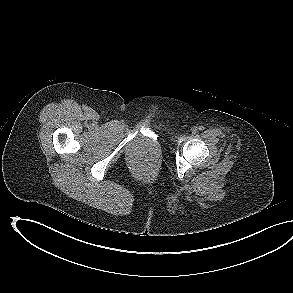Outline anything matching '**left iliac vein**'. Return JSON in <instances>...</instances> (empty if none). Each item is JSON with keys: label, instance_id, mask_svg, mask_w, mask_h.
Listing matches in <instances>:
<instances>
[{"label": "left iliac vein", "instance_id": "4c4485c4", "mask_svg": "<svg viewBox=\"0 0 293 293\" xmlns=\"http://www.w3.org/2000/svg\"><path fill=\"white\" fill-rule=\"evenodd\" d=\"M191 131H192L193 134H196L197 131H198V128L194 126V127L191 128Z\"/></svg>", "mask_w": 293, "mask_h": 293}]
</instances>
